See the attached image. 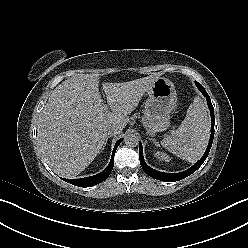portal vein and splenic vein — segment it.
<instances>
[{
  "label": "portal vein and splenic vein",
  "instance_id": "portal-vein-and-splenic-vein-1",
  "mask_svg": "<svg viewBox=\"0 0 248 248\" xmlns=\"http://www.w3.org/2000/svg\"><path fill=\"white\" fill-rule=\"evenodd\" d=\"M104 109L107 110L108 109L107 106H104Z\"/></svg>",
  "mask_w": 248,
  "mask_h": 248
}]
</instances>
